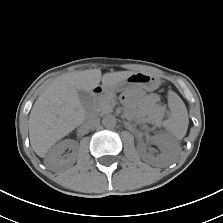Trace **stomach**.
Segmentation results:
<instances>
[{
	"label": "stomach",
	"instance_id": "1",
	"mask_svg": "<svg viewBox=\"0 0 223 223\" xmlns=\"http://www.w3.org/2000/svg\"><path fill=\"white\" fill-rule=\"evenodd\" d=\"M160 79L147 73L137 72L130 75L126 80L112 86H100L103 93L127 92L133 88H142L146 91L156 90L160 86Z\"/></svg>",
	"mask_w": 223,
	"mask_h": 223
}]
</instances>
